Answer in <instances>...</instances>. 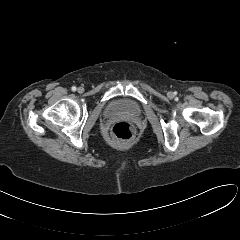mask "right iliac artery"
<instances>
[{
    "instance_id": "82829eb1",
    "label": "right iliac artery",
    "mask_w": 240,
    "mask_h": 240,
    "mask_svg": "<svg viewBox=\"0 0 240 240\" xmlns=\"http://www.w3.org/2000/svg\"><path fill=\"white\" fill-rule=\"evenodd\" d=\"M76 89L77 88L75 86H72V88H71L72 91H76Z\"/></svg>"
}]
</instances>
